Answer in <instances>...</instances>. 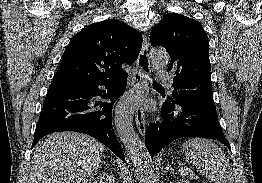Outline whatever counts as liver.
I'll return each mask as SVG.
<instances>
[{
	"label": "liver",
	"instance_id": "liver-1",
	"mask_svg": "<svg viewBox=\"0 0 262 183\" xmlns=\"http://www.w3.org/2000/svg\"><path fill=\"white\" fill-rule=\"evenodd\" d=\"M104 145L77 132H57L39 142L28 183H89L100 166Z\"/></svg>",
	"mask_w": 262,
	"mask_h": 183
}]
</instances>
